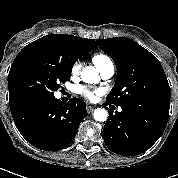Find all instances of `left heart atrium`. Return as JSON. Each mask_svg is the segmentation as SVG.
<instances>
[{
    "label": "left heart atrium",
    "mask_w": 178,
    "mask_h": 178,
    "mask_svg": "<svg viewBox=\"0 0 178 178\" xmlns=\"http://www.w3.org/2000/svg\"><path fill=\"white\" fill-rule=\"evenodd\" d=\"M77 93H78L80 96H82V97H84L85 99H87V100H94L95 97L100 94V90H98V89H96V90H91V89H89V88H87V87L79 86V87L77 88Z\"/></svg>",
    "instance_id": "obj_1"
}]
</instances>
